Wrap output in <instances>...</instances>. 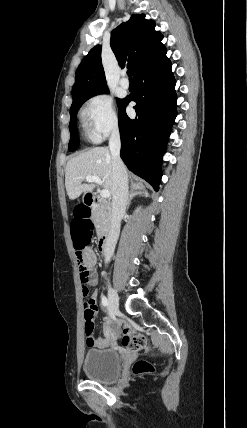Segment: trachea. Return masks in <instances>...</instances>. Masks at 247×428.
<instances>
[{
  "instance_id": "1",
  "label": "trachea",
  "mask_w": 247,
  "mask_h": 428,
  "mask_svg": "<svg viewBox=\"0 0 247 428\" xmlns=\"http://www.w3.org/2000/svg\"><path fill=\"white\" fill-rule=\"evenodd\" d=\"M127 74L129 76V79L132 80V71L130 69L127 71Z\"/></svg>"
}]
</instances>
